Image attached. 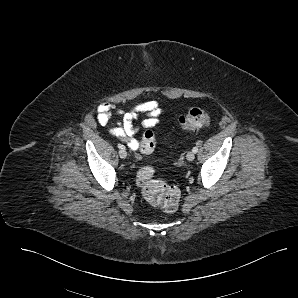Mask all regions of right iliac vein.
<instances>
[{"label": "right iliac vein", "instance_id": "obj_1", "mask_svg": "<svg viewBox=\"0 0 298 298\" xmlns=\"http://www.w3.org/2000/svg\"><path fill=\"white\" fill-rule=\"evenodd\" d=\"M119 156L121 157V158H126V156H127V152H126V150H120L119 151Z\"/></svg>", "mask_w": 298, "mask_h": 298}]
</instances>
